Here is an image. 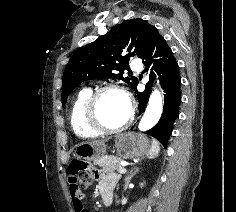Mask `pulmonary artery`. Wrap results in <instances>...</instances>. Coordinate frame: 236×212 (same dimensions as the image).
Listing matches in <instances>:
<instances>
[{
    "label": "pulmonary artery",
    "mask_w": 236,
    "mask_h": 212,
    "mask_svg": "<svg viewBox=\"0 0 236 212\" xmlns=\"http://www.w3.org/2000/svg\"><path fill=\"white\" fill-rule=\"evenodd\" d=\"M130 66L133 70H136V71H140L142 69V64L136 60H133Z\"/></svg>",
    "instance_id": "1"
}]
</instances>
